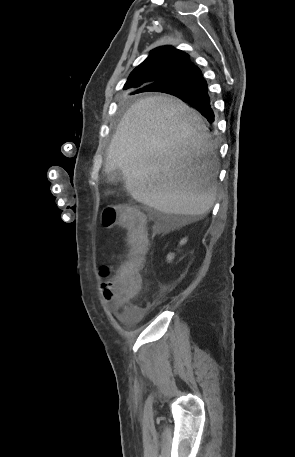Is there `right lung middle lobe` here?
<instances>
[{
    "label": "right lung middle lobe",
    "instance_id": "right-lung-middle-lobe-1",
    "mask_svg": "<svg viewBox=\"0 0 295 457\" xmlns=\"http://www.w3.org/2000/svg\"><path fill=\"white\" fill-rule=\"evenodd\" d=\"M162 92H165V93H169V94H174L175 93V90H163Z\"/></svg>",
    "mask_w": 295,
    "mask_h": 457
}]
</instances>
